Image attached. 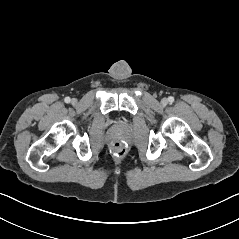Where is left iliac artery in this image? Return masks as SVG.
I'll return each mask as SVG.
<instances>
[{
  "mask_svg": "<svg viewBox=\"0 0 239 239\" xmlns=\"http://www.w3.org/2000/svg\"><path fill=\"white\" fill-rule=\"evenodd\" d=\"M168 101H169L170 103H173V102H174V98H173L172 96H170V97L168 98Z\"/></svg>",
  "mask_w": 239,
  "mask_h": 239,
  "instance_id": "44dca946",
  "label": "left iliac artery"
}]
</instances>
